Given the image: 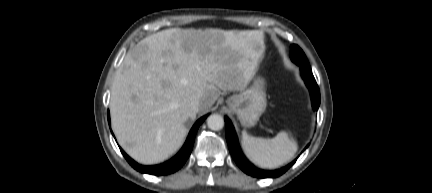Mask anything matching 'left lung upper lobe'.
I'll return each instance as SVG.
<instances>
[{
	"instance_id": "obj_1",
	"label": "left lung upper lobe",
	"mask_w": 432,
	"mask_h": 193,
	"mask_svg": "<svg viewBox=\"0 0 432 193\" xmlns=\"http://www.w3.org/2000/svg\"><path fill=\"white\" fill-rule=\"evenodd\" d=\"M291 60L300 66H309L308 60L302 49L293 44L290 53Z\"/></svg>"
}]
</instances>
